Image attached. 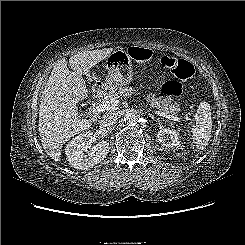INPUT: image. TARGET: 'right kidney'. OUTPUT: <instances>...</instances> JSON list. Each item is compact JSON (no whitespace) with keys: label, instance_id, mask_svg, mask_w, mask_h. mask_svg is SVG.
Listing matches in <instances>:
<instances>
[{"label":"right kidney","instance_id":"1","mask_svg":"<svg viewBox=\"0 0 245 245\" xmlns=\"http://www.w3.org/2000/svg\"><path fill=\"white\" fill-rule=\"evenodd\" d=\"M92 138V132H84L67 144L65 154L73 168L81 170L89 169L106 158L109 152V143L101 141L87 150L92 142Z\"/></svg>","mask_w":245,"mask_h":245}]
</instances>
